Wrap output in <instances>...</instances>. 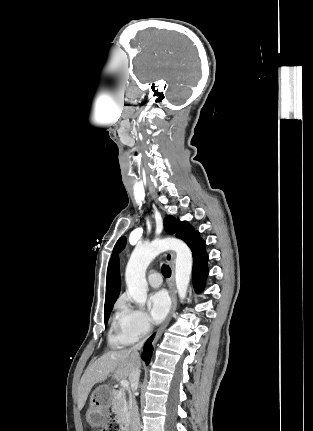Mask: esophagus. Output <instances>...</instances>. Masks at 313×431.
Returning <instances> with one entry per match:
<instances>
[{
	"label": "esophagus",
	"instance_id": "obj_1",
	"mask_svg": "<svg viewBox=\"0 0 313 431\" xmlns=\"http://www.w3.org/2000/svg\"><path fill=\"white\" fill-rule=\"evenodd\" d=\"M165 257L167 259V261L170 263L171 266V270H172V275L170 277L168 286H169V292H170V296H171V300H172V305H171V310L170 313L168 315V317L166 318V320L164 321V323L161 325V327L159 328L156 337L154 339V343H156L158 341V339L161 337L163 331L165 330V328L167 327V325L169 324L175 310L177 307V298H176V290H175V261H174V253L172 252H166Z\"/></svg>",
	"mask_w": 313,
	"mask_h": 431
}]
</instances>
